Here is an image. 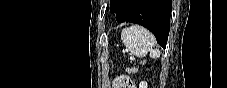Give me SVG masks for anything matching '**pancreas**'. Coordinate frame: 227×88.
I'll return each instance as SVG.
<instances>
[{"instance_id": "obj_1", "label": "pancreas", "mask_w": 227, "mask_h": 88, "mask_svg": "<svg viewBox=\"0 0 227 88\" xmlns=\"http://www.w3.org/2000/svg\"><path fill=\"white\" fill-rule=\"evenodd\" d=\"M137 68L136 67H131V68H127L128 72L134 73L136 72Z\"/></svg>"}]
</instances>
